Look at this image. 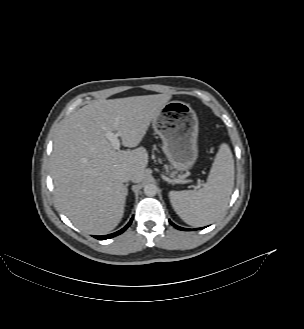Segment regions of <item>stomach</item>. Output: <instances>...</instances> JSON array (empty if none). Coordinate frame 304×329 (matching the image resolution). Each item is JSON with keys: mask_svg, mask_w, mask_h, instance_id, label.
Returning a JSON list of instances; mask_svg holds the SVG:
<instances>
[{"mask_svg": "<svg viewBox=\"0 0 304 329\" xmlns=\"http://www.w3.org/2000/svg\"><path fill=\"white\" fill-rule=\"evenodd\" d=\"M162 139V150L177 171L193 167L198 157V118L191 106L182 101L166 103L152 122Z\"/></svg>", "mask_w": 304, "mask_h": 329, "instance_id": "stomach-1", "label": "stomach"}]
</instances>
